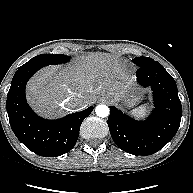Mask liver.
Returning a JSON list of instances; mask_svg holds the SVG:
<instances>
[{
    "label": "liver",
    "mask_w": 193,
    "mask_h": 193,
    "mask_svg": "<svg viewBox=\"0 0 193 193\" xmlns=\"http://www.w3.org/2000/svg\"><path fill=\"white\" fill-rule=\"evenodd\" d=\"M133 80L120 69L118 61L108 54L96 53L81 58L67 67L50 66L37 72L27 85V99L40 114L59 116L66 101L80 96L85 105L98 95L115 94L122 97L132 91Z\"/></svg>",
    "instance_id": "1"
}]
</instances>
